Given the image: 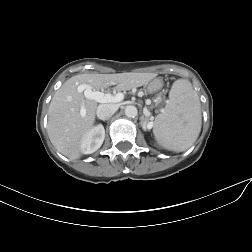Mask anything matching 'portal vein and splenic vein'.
Instances as JSON below:
<instances>
[{"mask_svg": "<svg viewBox=\"0 0 252 252\" xmlns=\"http://www.w3.org/2000/svg\"><path fill=\"white\" fill-rule=\"evenodd\" d=\"M78 91L83 92L86 98L95 100L99 103H117L121 102L124 99V94L123 93H117L116 95L112 94H104L103 92L100 91H93L92 87L87 84H81L78 86ZM148 111L145 110V113ZM81 115H85V110H81Z\"/></svg>", "mask_w": 252, "mask_h": 252, "instance_id": "1", "label": "portal vein and splenic vein"}]
</instances>
